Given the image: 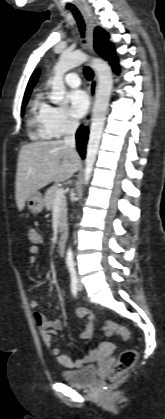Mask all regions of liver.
<instances>
[{
  "label": "liver",
  "mask_w": 165,
  "mask_h": 419,
  "mask_svg": "<svg viewBox=\"0 0 165 419\" xmlns=\"http://www.w3.org/2000/svg\"><path fill=\"white\" fill-rule=\"evenodd\" d=\"M81 167L78 153L63 140L41 141L21 147L16 172V203L22 211L27 198L51 182H64Z\"/></svg>",
  "instance_id": "6515ba94"
}]
</instances>
